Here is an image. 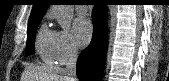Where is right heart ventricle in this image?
Listing matches in <instances>:
<instances>
[{
  "instance_id": "right-heart-ventricle-1",
  "label": "right heart ventricle",
  "mask_w": 169,
  "mask_h": 81,
  "mask_svg": "<svg viewBox=\"0 0 169 81\" xmlns=\"http://www.w3.org/2000/svg\"><path fill=\"white\" fill-rule=\"evenodd\" d=\"M52 38L53 33L43 26L39 29L35 41L36 51L46 63H52L55 59L52 48Z\"/></svg>"
}]
</instances>
